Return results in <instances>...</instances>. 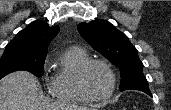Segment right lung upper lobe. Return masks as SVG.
Wrapping results in <instances>:
<instances>
[{"mask_svg":"<svg viewBox=\"0 0 171 110\" xmlns=\"http://www.w3.org/2000/svg\"><path fill=\"white\" fill-rule=\"evenodd\" d=\"M58 32V26L50 27L44 21H34L17 33L6 47L28 54L47 55L48 45Z\"/></svg>","mask_w":171,"mask_h":110,"instance_id":"1","label":"right lung upper lobe"}]
</instances>
